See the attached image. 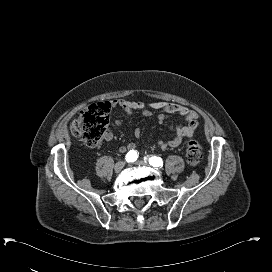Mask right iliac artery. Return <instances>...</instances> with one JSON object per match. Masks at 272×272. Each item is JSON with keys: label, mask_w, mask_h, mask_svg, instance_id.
Wrapping results in <instances>:
<instances>
[{"label": "right iliac artery", "mask_w": 272, "mask_h": 272, "mask_svg": "<svg viewBox=\"0 0 272 272\" xmlns=\"http://www.w3.org/2000/svg\"><path fill=\"white\" fill-rule=\"evenodd\" d=\"M138 158V154L136 151H129L125 157L127 162H135Z\"/></svg>", "instance_id": "1"}]
</instances>
